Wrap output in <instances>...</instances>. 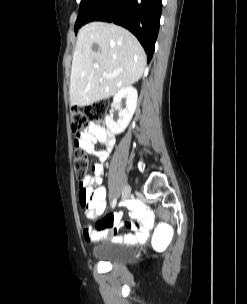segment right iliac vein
I'll use <instances>...</instances> for the list:
<instances>
[{"label": "right iliac vein", "mask_w": 247, "mask_h": 304, "mask_svg": "<svg viewBox=\"0 0 247 304\" xmlns=\"http://www.w3.org/2000/svg\"><path fill=\"white\" fill-rule=\"evenodd\" d=\"M130 195H131V188L130 186L126 185L122 192L123 200H127L130 197Z\"/></svg>", "instance_id": "right-iliac-vein-1"}]
</instances>
